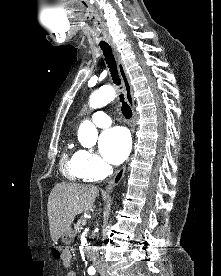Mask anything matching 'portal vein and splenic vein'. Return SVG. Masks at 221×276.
<instances>
[{
	"label": "portal vein and splenic vein",
	"instance_id": "1",
	"mask_svg": "<svg viewBox=\"0 0 221 276\" xmlns=\"http://www.w3.org/2000/svg\"><path fill=\"white\" fill-rule=\"evenodd\" d=\"M85 222H86V221H85V220H83V221H82V224H85Z\"/></svg>",
	"mask_w": 221,
	"mask_h": 276
}]
</instances>
